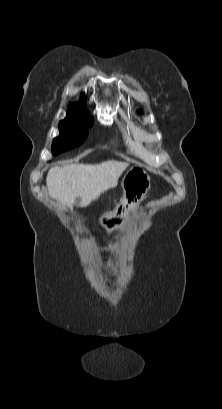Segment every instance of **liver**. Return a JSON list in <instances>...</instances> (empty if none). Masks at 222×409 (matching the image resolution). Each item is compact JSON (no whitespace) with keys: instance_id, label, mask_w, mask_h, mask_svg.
Wrapping results in <instances>:
<instances>
[{"instance_id":"liver-1","label":"liver","mask_w":222,"mask_h":409,"mask_svg":"<svg viewBox=\"0 0 222 409\" xmlns=\"http://www.w3.org/2000/svg\"><path fill=\"white\" fill-rule=\"evenodd\" d=\"M128 163L108 160L99 164H69L51 168L46 177L49 194L70 207L77 198L79 205L88 206L101 194L115 188Z\"/></svg>"}]
</instances>
